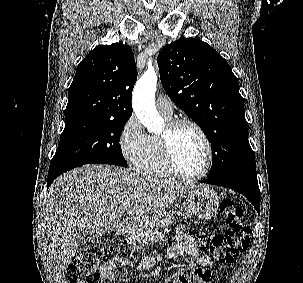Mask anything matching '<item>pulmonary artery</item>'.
I'll list each match as a JSON object with an SVG mask.
<instances>
[{
    "mask_svg": "<svg viewBox=\"0 0 303 283\" xmlns=\"http://www.w3.org/2000/svg\"><path fill=\"white\" fill-rule=\"evenodd\" d=\"M156 106L158 111L166 118H171L173 114L172 105L169 100L163 96H160L156 100Z\"/></svg>",
    "mask_w": 303,
    "mask_h": 283,
    "instance_id": "1",
    "label": "pulmonary artery"
}]
</instances>
